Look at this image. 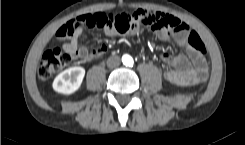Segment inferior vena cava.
Listing matches in <instances>:
<instances>
[{"mask_svg": "<svg viewBox=\"0 0 245 145\" xmlns=\"http://www.w3.org/2000/svg\"><path fill=\"white\" fill-rule=\"evenodd\" d=\"M120 65V58L118 56L109 57L107 60V66L109 68H115Z\"/></svg>", "mask_w": 245, "mask_h": 145, "instance_id": "1", "label": "inferior vena cava"}]
</instances>
